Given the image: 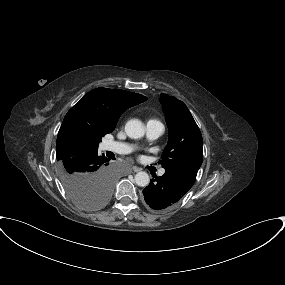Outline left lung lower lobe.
<instances>
[{
    "label": "left lung lower lobe",
    "instance_id": "1",
    "mask_svg": "<svg viewBox=\"0 0 285 285\" xmlns=\"http://www.w3.org/2000/svg\"><path fill=\"white\" fill-rule=\"evenodd\" d=\"M191 187L179 178L165 172L161 177H154L144 188L143 194L147 205L154 210H164L173 206Z\"/></svg>",
    "mask_w": 285,
    "mask_h": 285
}]
</instances>
